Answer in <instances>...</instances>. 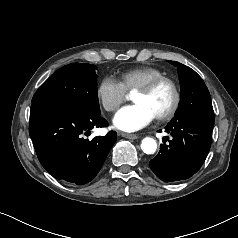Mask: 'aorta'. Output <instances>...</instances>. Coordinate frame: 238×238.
Listing matches in <instances>:
<instances>
[{
	"instance_id": "obj_1",
	"label": "aorta",
	"mask_w": 238,
	"mask_h": 238,
	"mask_svg": "<svg viewBox=\"0 0 238 238\" xmlns=\"http://www.w3.org/2000/svg\"><path fill=\"white\" fill-rule=\"evenodd\" d=\"M141 149L146 154H154L157 149V143L153 138L145 137L141 141Z\"/></svg>"
}]
</instances>
